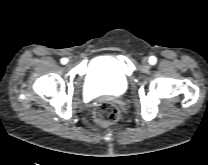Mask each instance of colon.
<instances>
[{
    "mask_svg": "<svg viewBox=\"0 0 208 165\" xmlns=\"http://www.w3.org/2000/svg\"><path fill=\"white\" fill-rule=\"evenodd\" d=\"M95 121L102 127H108L119 117L117 105L111 101L99 102L94 108Z\"/></svg>",
    "mask_w": 208,
    "mask_h": 165,
    "instance_id": "1",
    "label": "colon"
}]
</instances>
